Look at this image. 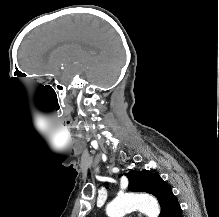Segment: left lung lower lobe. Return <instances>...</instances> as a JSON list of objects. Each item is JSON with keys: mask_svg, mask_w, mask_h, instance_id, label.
I'll use <instances>...</instances> for the list:
<instances>
[{"mask_svg": "<svg viewBox=\"0 0 219 217\" xmlns=\"http://www.w3.org/2000/svg\"><path fill=\"white\" fill-rule=\"evenodd\" d=\"M167 217H183L181 207L178 202H174Z\"/></svg>", "mask_w": 219, "mask_h": 217, "instance_id": "left-lung-lower-lobe-1", "label": "left lung lower lobe"}]
</instances>
